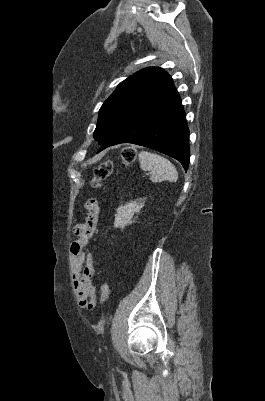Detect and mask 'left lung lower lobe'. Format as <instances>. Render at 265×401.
<instances>
[{
  "label": "left lung lower lobe",
  "instance_id": "0a47b994",
  "mask_svg": "<svg viewBox=\"0 0 265 401\" xmlns=\"http://www.w3.org/2000/svg\"><path fill=\"white\" fill-rule=\"evenodd\" d=\"M132 143L149 147L189 166V130L181 99L174 85L136 112L100 148Z\"/></svg>",
  "mask_w": 265,
  "mask_h": 401
}]
</instances>
